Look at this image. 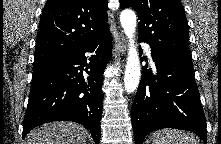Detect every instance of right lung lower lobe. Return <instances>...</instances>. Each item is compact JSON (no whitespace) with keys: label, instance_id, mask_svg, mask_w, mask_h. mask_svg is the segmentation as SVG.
<instances>
[{"label":"right lung lower lobe","instance_id":"obj_1","mask_svg":"<svg viewBox=\"0 0 221 144\" xmlns=\"http://www.w3.org/2000/svg\"><path fill=\"white\" fill-rule=\"evenodd\" d=\"M111 51L108 30L33 68L23 138L36 126L65 120L87 127L98 144L104 97L103 71Z\"/></svg>","mask_w":221,"mask_h":144}]
</instances>
